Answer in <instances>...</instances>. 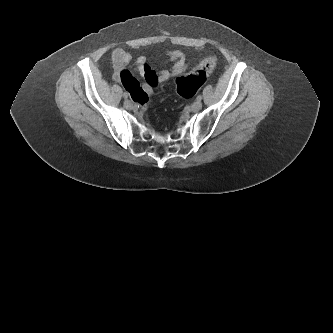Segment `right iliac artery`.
<instances>
[{
  "label": "right iliac artery",
  "instance_id": "82829eb1",
  "mask_svg": "<svg viewBox=\"0 0 333 333\" xmlns=\"http://www.w3.org/2000/svg\"><path fill=\"white\" fill-rule=\"evenodd\" d=\"M123 96H124L125 98H127V97H128V93L124 92Z\"/></svg>",
  "mask_w": 333,
  "mask_h": 333
}]
</instances>
